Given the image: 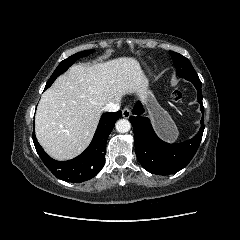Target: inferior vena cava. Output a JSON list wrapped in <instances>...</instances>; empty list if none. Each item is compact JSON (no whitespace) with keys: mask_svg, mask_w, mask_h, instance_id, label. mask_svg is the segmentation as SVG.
I'll use <instances>...</instances> for the list:
<instances>
[{"mask_svg":"<svg viewBox=\"0 0 240 240\" xmlns=\"http://www.w3.org/2000/svg\"><path fill=\"white\" fill-rule=\"evenodd\" d=\"M120 109L119 103H108L103 107V111L106 112H116Z\"/></svg>","mask_w":240,"mask_h":240,"instance_id":"1","label":"inferior vena cava"}]
</instances>
